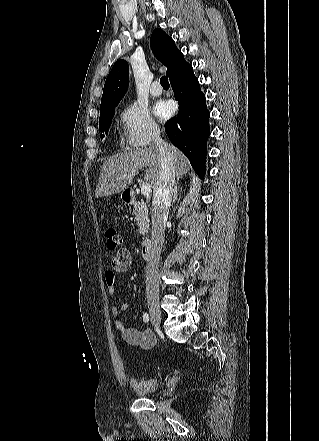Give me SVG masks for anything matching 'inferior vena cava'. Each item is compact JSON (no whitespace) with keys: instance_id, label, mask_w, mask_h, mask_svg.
Masks as SVG:
<instances>
[{"instance_id":"1","label":"inferior vena cava","mask_w":319,"mask_h":441,"mask_svg":"<svg viewBox=\"0 0 319 441\" xmlns=\"http://www.w3.org/2000/svg\"><path fill=\"white\" fill-rule=\"evenodd\" d=\"M154 143L159 150L160 176L158 186L154 190L151 211L152 251L145 271L147 297L159 295L158 266L165 238V221L175 185L173 147L164 142L159 133L154 135Z\"/></svg>"}]
</instances>
